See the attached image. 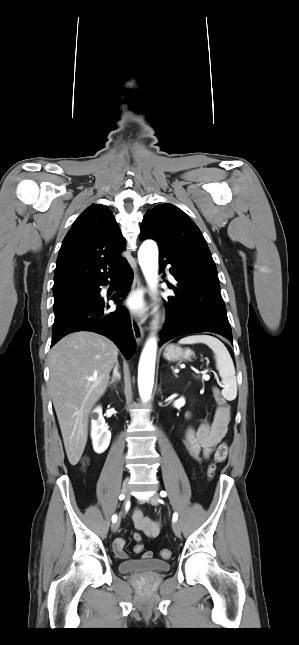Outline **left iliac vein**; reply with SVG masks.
<instances>
[{
	"label": "left iliac vein",
	"mask_w": 299,
	"mask_h": 645,
	"mask_svg": "<svg viewBox=\"0 0 299 645\" xmlns=\"http://www.w3.org/2000/svg\"><path fill=\"white\" fill-rule=\"evenodd\" d=\"M148 501H149V503H150V504H152V505H155V506H156V505H158V503H159V496H158L157 494H154V495H152V496L149 498V500H148ZM172 528H173V532H174V534H175L177 537H180V535H181V528H180L179 523H178V522H176V521H174V522H173V524H172Z\"/></svg>",
	"instance_id": "left-iliac-vein-1"
}]
</instances>
